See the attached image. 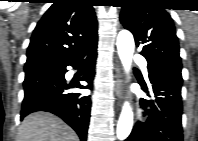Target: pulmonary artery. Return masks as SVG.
I'll use <instances>...</instances> for the list:
<instances>
[{"instance_id":"e3ab8cb5","label":"pulmonary artery","mask_w":198,"mask_h":141,"mask_svg":"<svg viewBox=\"0 0 198 141\" xmlns=\"http://www.w3.org/2000/svg\"><path fill=\"white\" fill-rule=\"evenodd\" d=\"M135 62L137 64H139L142 67L144 73L147 74V72H146V60L142 56H137L135 58Z\"/></svg>"}]
</instances>
